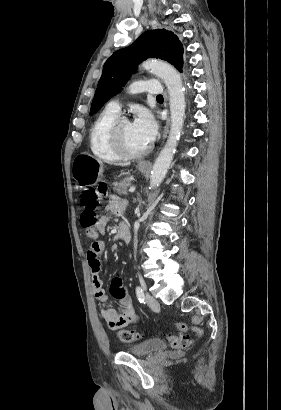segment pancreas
Here are the masks:
<instances>
[{"label":"pancreas","mask_w":281,"mask_h":410,"mask_svg":"<svg viewBox=\"0 0 281 410\" xmlns=\"http://www.w3.org/2000/svg\"><path fill=\"white\" fill-rule=\"evenodd\" d=\"M129 187H131V180L129 178L113 183V190L119 195H126Z\"/></svg>","instance_id":"pancreas-1"}]
</instances>
